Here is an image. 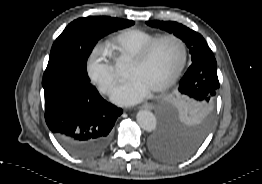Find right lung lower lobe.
Returning a JSON list of instances; mask_svg holds the SVG:
<instances>
[{
    "instance_id": "1",
    "label": "right lung lower lobe",
    "mask_w": 262,
    "mask_h": 184,
    "mask_svg": "<svg viewBox=\"0 0 262 184\" xmlns=\"http://www.w3.org/2000/svg\"><path fill=\"white\" fill-rule=\"evenodd\" d=\"M45 120L58 141L78 158H94L110 144L122 109L104 100L88 76L76 72L43 78Z\"/></svg>"
}]
</instances>
